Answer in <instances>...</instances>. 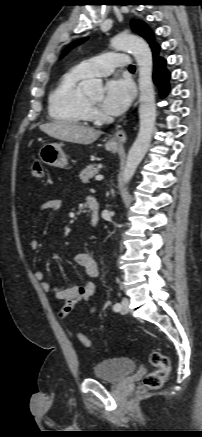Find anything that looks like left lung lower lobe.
Wrapping results in <instances>:
<instances>
[{
	"label": "left lung lower lobe",
	"mask_w": 202,
	"mask_h": 437,
	"mask_svg": "<svg viewBox=\"0 0 202 437\" xmlns=\"http://www.w3.org/2000/svg\"><path fill=\"white\" fill-rule=\"evenodd\" d=\"M153 61H154V82L157 84L159 88V92L161 97L166 96L169 91V78L170 73L167 71L165 67V60L158 55L159 46L156 45L153 49Z\"/></svg>",
	"instance_id": "0a47b994"
}]
</instances>
